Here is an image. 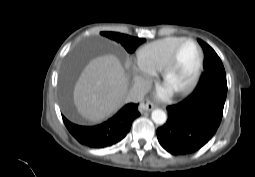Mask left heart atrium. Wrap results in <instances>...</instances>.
Instances as JSON below:
<instances>
[{"instance_id":"left-heart-atrium-1","label":"left heart atrium","mask_w":255,"mask_h":177,"mask_svg":"<svg viewBox=\"0 0 255 177\" xmlns=\"http://www.w3.org/2000/svg\"><path fill=\"white\" fill-rule=\"evenodd\" d=\"M173 92V90L167 86L164 85L163 87H160L157 89V97L161 98V99H165L167 98L171 93Z\"/></svg>"}]
</instances>
